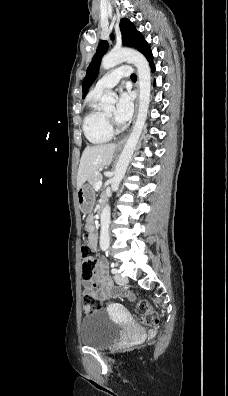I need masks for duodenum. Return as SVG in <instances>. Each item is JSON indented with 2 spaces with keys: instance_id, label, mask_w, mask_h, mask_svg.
<instances>
[{
  "instance_id": "duodenum-1",
  "label": "duodenum",
  "mask_w": 228,
  "mask_h": 396,
  "mask_svg": "<svg viewBox=\"0 0 228 396\" xmlns=\"http://www.w3.org/2000/svg\"><path fill=\"white\" fill-rule=\"evenodd\" d=\"M104 207H105V203L102 202L101 205H100V208H99V215H100V216H102V214H103V209H104Z\"/></svg>"
}]
</instances>
